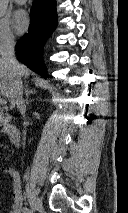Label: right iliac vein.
I'll return each instance as SVG.
<instances>
[{
  "instance_id": "1",
  "label": "right iliac vein",
  "mask_w": 128,
  "mask_h": 213,
  "mask_svg": "<svg viewBox=\"0 0 128 213\" xmlns=\"http://www.w3.org/2000/svg\"><path fill=\"white\" fill-rule=\"evenodd\" d=\"M27 190L29 195L30 208L32 211H36L41 206L40 200L37 197L33 186L29 183L27 184Z\"/></svg>"
}]
</instances>
